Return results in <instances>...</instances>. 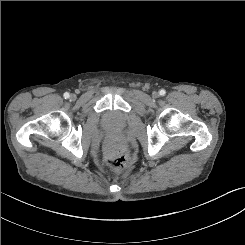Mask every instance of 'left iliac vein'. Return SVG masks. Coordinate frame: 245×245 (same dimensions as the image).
<instances>
[{"instance_id":"4c4485c4","label":"left iliac vein","mask_w":245,"mask_h":245,"mask_svg":"<svg viewBox=\"0 0 245 245\" xmlns=\"http://www.w3.org/2000/svg\"><path fill=\"white\" fill-rule=\"evenodd\" d=\"M153 97H158V93L157 92H153Z\"/></svg>"}]
</instances>
